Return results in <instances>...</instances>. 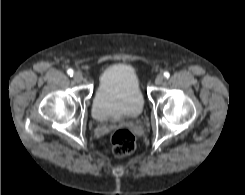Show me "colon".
<instances>
[{
  "label": "colon",
  "instance_id": "5ec220e1",
  "mask_svg": "<svg viewBox=\"0 0 245 195\" xmlns=\"http://www.w3.org/2000/svg\"><path fill=\"white\" fill-rule=\"evenodd\" d=\"M136 146V138L132 132L119 129L110 136V151L117 157L131 154Z\"/></svg>",
  "mask_w": 245,
  "mask_h": 195
}]
</instances>
